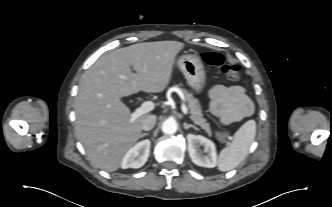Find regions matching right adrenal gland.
<instances>
[{
	"label": "right adrenal gland",
	"mask_w": 332,
	"mask_h": 207,
	"mask_svg": "<svg viewBox=\"0 0 332 207\" xmlns=\"http://www.w3.org/2000/svg\"><path fill=\"white\" fill-rule=\"evenodd\" d=\"M148 134H149V133H142L140 137L143 138L144 136H146V135H148Z\"/></svg>",
	"instance_id": "2a0ac1e0"
}]
</instances>
